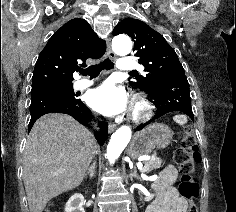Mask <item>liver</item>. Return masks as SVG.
I'll list each match as a JSON object with an SVG mask.
<instances>
[{"instance_id": "obj_1", "label": "liver", "mask_w": 236, "mask_h": 212, "mask_svg": "<svg viewBox=\"0 0 236 212\" xmlns=\"http://www.w3.org/2000/svg\"><path fill=\"white\" fill-rule=\"evenodd\" d=\"M98 148L90 131L73 117L52 113L39 118L24 151L30 212H42L52 198L78 187Z\"/></svg>"}]
</instances>
